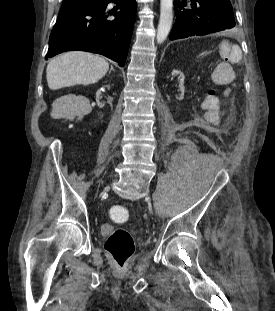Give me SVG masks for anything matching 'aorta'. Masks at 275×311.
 <instances>
[{
    "label": "aorta",
    "instance_id": "obj_1",
    "mask_svg": "<svg viewBox=\"0 0 275 311\" xmlns=\"http://www.w3.org/2000/svg\"><path fill=\"white\" fill-rule=\"evenodd\" d=\"M173 22V0L160 1V19L157 28L156 41L158 44L163 43L172 26Z\"/></svg>",
    "mask_w": 275,
    "mask_h": 311
}]
</instances>
